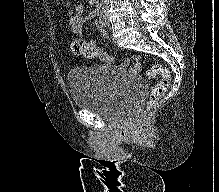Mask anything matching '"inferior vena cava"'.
<instances>
[{
	"label": "inferior vena cava",
	"instance_id": "obj_1",
	"mask_svg": "<svg viewBox=\"0 0 219 192\" xmlns=\"http://www.w3.org/2000/svg\"><path fill=\"white\" fill-rule=\"evenodd\" d=\"M103 3L105 5V9H107V7H108V0H103Z\"/></svg>",
	"mask_w": 219,
	"mask_h": 192
}]
</instances>
